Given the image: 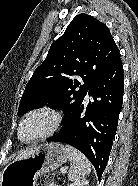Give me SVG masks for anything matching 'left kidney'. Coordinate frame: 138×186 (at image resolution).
<instances>
[{"label":"left kidney","mask_w":138,"mask_h":186,"mask_svg":"<svg viewBox=\"0 0 138 186\" xmlns=\"http://www.w3.org/2000/svg\"><path fill=\"white\" fill-rule=\"evenodd\" d=\"M69 186H89V181L86 179H80Z\"/></svg>","instance_id":"obj_1"}]
</instances>
